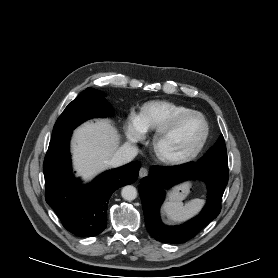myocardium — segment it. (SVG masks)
Segmentation results:
<instances>
[{"mask_svg": "<svg viewBox=\"0 0 278 278\" xmlns=\"http://www.w3.org/2000/svg\"><path fill=\"white\" fill-rule=\"evenodd\" d=\"M192 116H197L201 118L204 124V132L198 144L192 150L186 153L172 154L167 152L164 149V145L167 142V140L173 135V133L178 129V127L181 125V123L184 120ZM209 134H210V125L205 115L199 111L191 110L183 114H180L175 119H173L167 126L157 131V133L155 134L152 140V151L155 157L159 161L165 164L168 165L184 164L194 160L201 153V151L203 150V148L207 143Z\"/></svg>", "mask_w": 278, "mask_h": 278, "instance_id": "obj_1", "label": "myocardium"}]
</instances>
